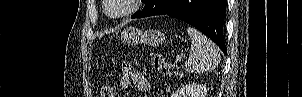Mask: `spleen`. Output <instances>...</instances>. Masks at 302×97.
Returning <instances> with one entry per match:
<instances>
[{
	"instance_id": "3e777b00",
	"label": "spleen",
	"mask_w": 302,
	"mask_h": 97,
	"mask_svg": "<svg viewBox=\"0 0 302 97\" xmlns=\"http://www.w3.org/2000/svg\"><path fill=\"white\" fill-rule=\"evenodd\" d=\"M191 38L189 58L185 63L188 73H203L215 69L221 60L218 47L197 29L188 27Z\"/></svg>"
}]
</instances>
